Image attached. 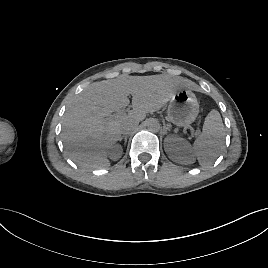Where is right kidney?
<instances>
[{
	"mask_svg": "<svg viewBox=\"0 0 268 268\" xmlns=\"http://www.w3.org/2000/svg\"><path fill=\"white\" fill-rule=\"evenodd\" d=\"M123 150L120 145H114L108 152L111 160L116 161L122 156Z\"/></svg>",
	"mask_w": 268,
	"mask_h": 268,
	"instance_id": "obj_1",
	"label": "right kidney"
}]
</instances>
